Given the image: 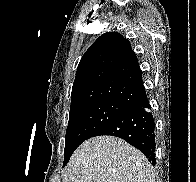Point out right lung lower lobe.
Instances as JSON below:
<instances>
[{"mask_svg": "<svg viewBox=\"0 0 196 182\" xmlns=\"http://www.w3.org/2000/svg\"><path fill=\"white\" fill-rule=\"evenodd\" d=\"M150 109L145 92L132 108L103 126L94 136L111 135L122 138L139 149L155 165V123Z\"/></svg>", "mask_w": 196, "mask_h": 182, "instance_id": "1", "label": "right lung lower lobe"}]
</instances>
